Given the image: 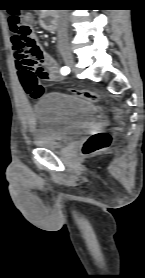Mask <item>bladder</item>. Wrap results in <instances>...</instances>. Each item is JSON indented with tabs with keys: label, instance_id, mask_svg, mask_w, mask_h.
Masks as SVG:
<instances>
[{
	"label": "bladder",
	"instance_id": "obj_1",
	"mask_svg": "<svg viewBox=\"0 0 145 278\" xmlns=\"http://www.w3.org/2000/svg\"><path fill=\"white\" fill-rule=\"evenodd\" d=\"M36 128L32 135L35 145L57 149L80 136L91 125L98 112L92 101L62 92H51L35 105Z\"/></svg>",
	"mask_w": 145,
	"mask_h": 278
}]
</instances>
